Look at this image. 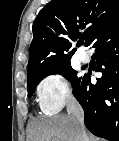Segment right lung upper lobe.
Masks as SVG:
<instances>
[{
    "label": "right lung upper lobe",
    "instance_id": "obj_1",
    "mask_svg": "<svg viewBox=\"0 0 119 141\" xmlns=\"http://www.w3.org/2000/svg\"><path fill=\"white\" fill-rule=\"evenodd\" d=\"M117 18L119 0L50 1L32 27L28 75L70 63L76 51L73 41L84 38L91 46L101 29Z\"/></svg>",
    "mask_w": 119,
    "mask_h": 141
}]
</instances>
